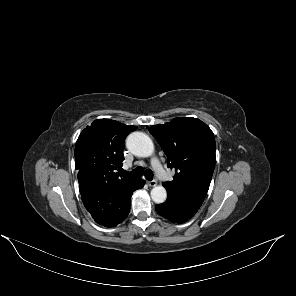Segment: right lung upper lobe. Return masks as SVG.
<instances>
[{
    "label": "right lung upper lobe",
    "instance_id": "1",
    "mask_svg": "<svg viewBox=\"0 0 296 296\" xmlns=\"http://www.w3.org/2000/svg\"><path fill=\"white\" fill-rule=\"evenodd\" d=\"M114 120L97 119L79 135L75 145V169L78 177H91L101 185H121L138 177L116 172L124 160V140L136 130Z\"/></svg>",
    "mask_w": 296,
    "mask_h": 296
}]
</instances>
